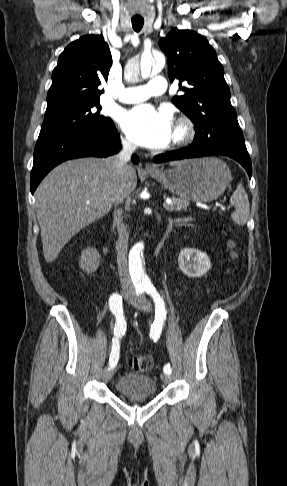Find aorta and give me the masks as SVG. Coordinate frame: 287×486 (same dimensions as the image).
<instances>
[{
    "mask_svg": "<svg viewBox=\"0 0 287 486\" xmlns=\"http://www.w3.org/2000/svg\"><path fill=\"white\" fill-rule=\"evenodd\" d=\"M156 63L152 66L151 60H148L141 65V75L143 78L147 77L151 73L159 72L165 65V59L162 56L155 58ZM143 249L144 244L142 242L136 243L129 252V269L133 279L139 281L143 286H151L150 279L144 272L143 263Z\"/></svg>",
    "mask_w": 287,
    "mask_h": 486,
    "instance_id": "aorta-1",
    "label": "aorta"
}]
</instances>
